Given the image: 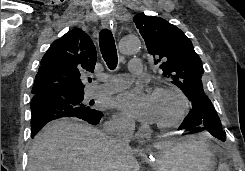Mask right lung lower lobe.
I'll use <instances>...</instances> for the list:
<instances>
[{
    "mask_svg": "<svg viewBox=\"0 0 245 171\" xmlns=\"http://www.w3.org/2000/svg\"><path fill=\"white\" fill-rule=\"evenodd\" d=\"M71 96H57L42 94L31 101V137L34 136L50 121L63 117H77L92 125H97L104 116L95 109L85 110L83 106H76Z\"/></svg>",
    "mask_w": 245,
    "mask_h": 171,
    "instance_id": "1",
    "label": "right lung lower lobe"
}]
</instances>
